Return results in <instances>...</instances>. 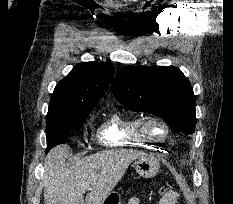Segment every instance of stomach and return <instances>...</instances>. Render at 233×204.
Masks as SVG:
<instances>
[{"instance_id": "0dacf381", "label": "stomach", "mask_w": 233, "mask_h": 204, "mask_svg": "<svg viewBox=\"0 0 233 204\" xmlns=\"http://www.w3.org/2000/svg\"><path fill=\"white\" fill-rule=\"evenodd\" d=\"M134 165L138 175L143 178L155 177L160 169V165L157 159L149 155L139 157L137 161H135ZM116 195L120 201V195L117 193Z\"/></svg>"}]
</instances>
